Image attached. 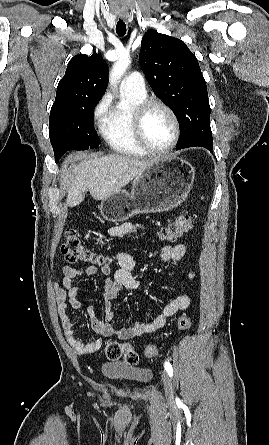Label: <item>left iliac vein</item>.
I'll return each mask as SVG.
<instances>
[{
    "label": "left iliac vein",
    "mask_w": 269,
    "mask_h": 445,
    "mask_svg": "<svg viewBox=\"0 0 269 445\" xmlns=\"http://www.w3.org/2000/svg\"><path fill=\"white\" fill-rule=\"evenodd\" d=\"M162 380H163V384H164V391H165L166 398L172 399L173 398V387H172V382H171V379H170L168 373L163 372Z\"/></svg>",
    "instance_id": "left-iliac-vein-1"
}]
</instances>
